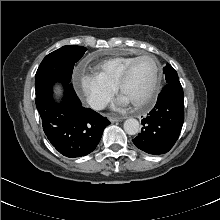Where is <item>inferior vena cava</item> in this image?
Masks as SVG:
<instances>
[{
  "instance_id": "inferior-vena-cava-1",
  "label": "inferior vena cava",
  "mask_w": 220,
  "mask_h": 220,
  "mask_svg": "<svg viewBox=\"0 0 220 220\" xmlns=\"http://www.w3.org/2000/svg\"><path fill=\"white\" fill-rule=\"evenodd\" d=\"M88 103L91 106V108L95 110H102L107 106L108 101L101 97H94L90 98Z\"/></svg>"
}]
</instances>
